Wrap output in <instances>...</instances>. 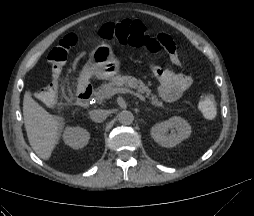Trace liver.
Here are the masks:
<instances>
[{
	"label": "liver",
	"instance_id": "1",
	"mask_svg": "<svg viewBox=\"0 0 254 216\" xmlns=\"http://www.w3.org/2000/svg\"><path fill=\"white\" fill-rule=\"evenodd\" d=\"M23 116L32 149L41 159L48 160L59 141L64 119L47 112L29 93L24 95Z\"/></svg>",
	"mask_w": 254,
	"mask_h": 216
}]
</instances>
